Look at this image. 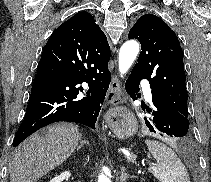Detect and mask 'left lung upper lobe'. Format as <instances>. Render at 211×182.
I'll list each match as a JSON object with an SVG mask.
<instances>
[{
    "instance_id": "left-lung-upper-lobe-1",
    "label": "left lung upper lobe",
    "mask_w": 211,
    "mask_h": 182,
    "mask_svg": "<svg viewBox=\"0 0 211 182\" xmlns=\"http://www.w3.org/2000/svg\"><path fill=\"white\" fill-rule=\"evenodd\" d=\"M128 38L141 43L133 71L149 80L154 97L188 117L182 49L174 31L161 18L146 14L131 28Z\"/></svg>"
}]
</instances>
